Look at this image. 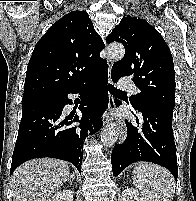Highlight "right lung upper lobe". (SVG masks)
I'll return each mask as SVG.
<instances>
[{
    "label": "right lung upper lobe",
    "mask_w": 196,
    "mask_h": 201,
    "mask_svg": "<svg viewBox=\"0 0 196 201\" xmlns=\"http://www.w3.org/2000/svg\"><path fill=\"white\" fill-rule=\"evenodd\" d=\"M103 48L104 42L85 11L66 14L35 45L23 97L53 95L85 81L107 65L100 57Z\"/></svg>",
    "instance_id": "obj_1"
}]
</instances>
